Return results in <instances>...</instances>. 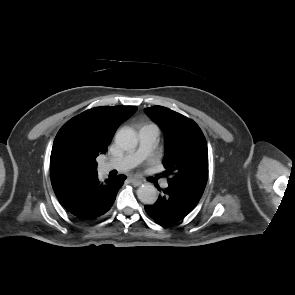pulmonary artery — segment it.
<instances>
[{"mask_svg": "<svg viewBox=\"0 0 295 295\" xmlns=\"http://www.w3.org/2000/svg\"><path fill=\"white\" fill-rule=\"evenodd\" d=\"M138 136V148L135 151L127 153L119 159H113L105 162L102 165L104 172H108L113 169L118 171L129 170L135 167L152 152L158 138L157 130L150 126H144L139 130ZM162 186L167 187L168 183L163 182Z\"/></svg>", "mask_w": 295, "mask_h": 295, "instance_id": "obj_1", "label": "pulmonary artery"}]
</instances>
